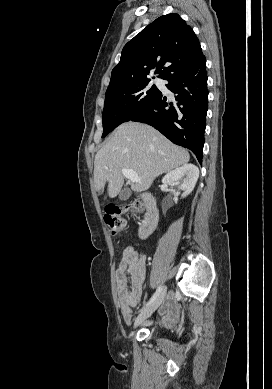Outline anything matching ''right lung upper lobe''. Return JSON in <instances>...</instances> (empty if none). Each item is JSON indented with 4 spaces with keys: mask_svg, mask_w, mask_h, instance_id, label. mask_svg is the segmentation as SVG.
Returning a JSON list of instances; mask_svg holds the SVG:
<instances>
[{
    "mask_svg": "<svg viewBox=\"0 0 272 389\" xmlns=\"http://www.w3.org/2000/svg\"><path fill=\"white\" fill-rule=\"evenodd\" d=\"M203 56L193 29L178 14L161 16L124 46L106 92L149 80L153 69L166 80Z\"/></svg>",
    "mask_w": 272,
    "mask_h": 389,
    "instance_id": "cb5924a9",
    "label": "right lung upper lobe"
}]
</instances>
